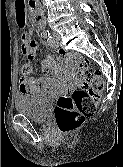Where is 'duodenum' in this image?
Segmentation results:
<instances>
[{"instance_id": "1", "label": "duodenum", "mask_w": 123, "mask_h": 167, "mask_svg": "<svg viewBox=\"0 0 123 167\" xmlns=\"http://www.w3.org/2000/svg\"><path fill=\"white\" fill-rule=\"evenodd\" d=\"M29 7L38 22V28L42 29L44 27V15L38 8L37 0H29Z\"/></svg>"}]
</instances>
